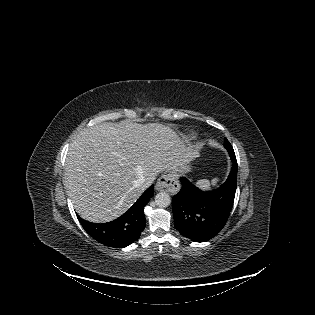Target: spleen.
I'll list each match as a JSON object with an SVG mask.
<instances>
[{
	"mask_svg": "<svg viewBox=\"0 0 315 315\" xmlns=\"http://www.w3.org/2000/svg\"><path fill=\"white\" fill-rule=\"evenodd\" d=\"M219 179L218 178H214L212 179L211 181L207 180V179H202V180H199L198 182H196V185L201 188L202 190H208L214 186L217 185Z\"/></svg>",
	"mask_w": 315,
	"mask_h": 315,
	"instance_id": "spleen-1",
	"label": "spleen"
}]
</instances>
